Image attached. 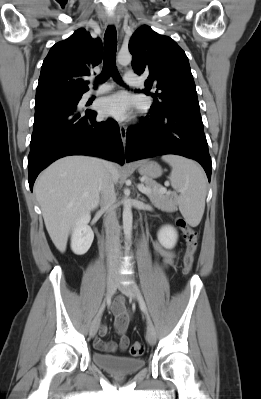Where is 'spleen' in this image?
Returning a JSON list of instances; mask_svg holds the SVG:
<instances>
[{"label":"spleen","instance_id":"3e777b00","mask_svg":"<svg viewBox=\"0 0 261 399\" xmlns=\"http://www.w3.org/2000/svg\"><path fill=\"white\" fill-rule=\"evenodd\" d=\"M162 159L172 167L170 181L180 192L179 210L188 224L197 226L205 209L207 179L203 169L194 161L178 155H164Z\"/></svg>","mask_w":261,"mask_h":399}]
</instances>
